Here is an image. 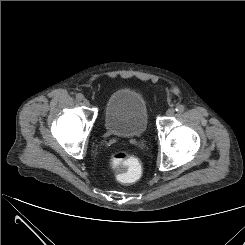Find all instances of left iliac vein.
<instances>
[{"label": "left iliac vein", "instance_id": "obj_1", "mask_svg": "<svg viewBox=\"0 0 245 245\" xmlns=\"http://www.w3.org/2000/svg\"><path fill=\"white\" fill-rule=\"evenodd\" d=\"M175 113V110L173 108H169L167 111H166V115L167 116H173Z\"/></svg>", "mask_w": 245, "mask_h": 245}]
</instances>
